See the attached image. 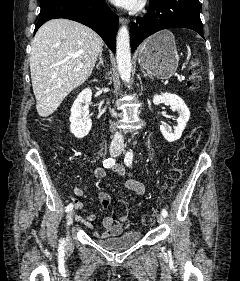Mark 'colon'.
Segmentation results:
<instances>
[{"instance_id":"5ec220e1","label":"colon","mask_w":240,"mask_h":281,"mask_svg":"<svg viewBox=\"0 0 240 281\" xmlns=\"http://www.w3.org/2000/svg\"><path fill=\"white\" fill-rule=\"evenodd\" d=\"M197 63H193L190 66V73L188 78V86L192 89H197L200 86V77L198 75ZM202 136V128L195 127L190 134H188L184 140L182 146L178 149L176 156L172 163L169 175L166 179L162 196L164 199H168L171 196L176 184L180 181L183 173L187 167L188 162L192 158L193 152L197 147ZM113 218L118 225L123 228H127L130 225L128 209L125 203L116 202L113 208ZM152 222V215H147L144 218V223L149 224Z\"/></svg>"}]
</instances>
